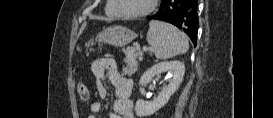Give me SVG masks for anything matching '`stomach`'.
<instances>
[{"mask_svg": "<svg viewBox=\"0 0 273 118\" xmlns=\"http://www.w3.org/2000/svg\"><path fill=\"white\" fill-rule=\"evenodd\" d=\"M136 37V33L126 27L112 26L100 32L96 40L115 46H125Z\"/></svg>", "mask_w": 273, "mask_h": 118, "instance_id": "1", "label": "stomach"}]
</instances>
